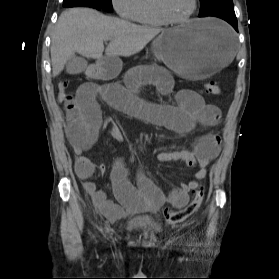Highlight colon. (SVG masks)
<instances>
[{
  "label": "colon",
  "instance_id": "1",
  "mask_svg": "<svg viewBox=\"0 0 279 279\" xmlns=\"http://www.w3.org/2000/svg\"><path fill=\"white\" fill-rule=\"evenodd\" d=\"M204 91L206 93L214 95H218L221 92L220 87L214 82L205 84ZM69 94L70 93L68 92V83L66 81L59 82L57 86V97L59 101L64 102ZM203 196L204 188H196L193 191L190 202L184 208L179 210L166 209L164 211V217L166 221L170 224H178L187 220L199 209L203 200Z\"/></svg>",
  "mask_w": 279,
  "mask_h": 279
}]
</instances>
